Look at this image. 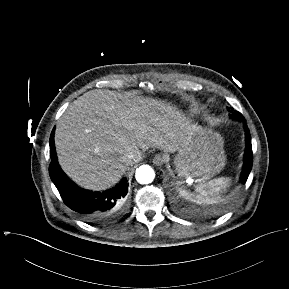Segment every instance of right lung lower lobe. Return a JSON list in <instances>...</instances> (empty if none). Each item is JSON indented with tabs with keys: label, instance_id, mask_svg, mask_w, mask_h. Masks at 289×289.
<instances>
[{
	"label": "right lung lower lobe",
	"instance_id": "98d812e1",
	"mask_svg": "<svg viewBox=\"0 0 289 289\" xmlns=\"http://www.w3.org/2000/svg\"><path fill=\"white\" fill-rule=\"evenodd\" d=\"M50 177L57 187L64 203L84 221L101 224L114 220L121 211V204L128 193V184L123 179L115 188L91 192L78 187L61 170L54 146V129L50 136Z\"/></svg>",
	"mask_w": 289,
	"mask_h": 289
}]
</instances>
